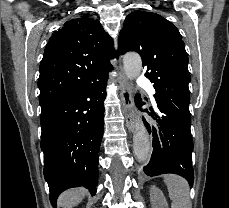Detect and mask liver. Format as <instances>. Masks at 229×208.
I'll return each mask as SVG.
<instances>
[{
    "mask_svg": "<svg viewBox=\"0 0 229 208\" xmlns=\"http://www.w3.org/2000/svg\"><path fill=\"white\" fill-rule=\"evenodd\" d=\"M87 192L84 188H74V190H67L59 196L57 200V208H74L80 204Z\"/></svg>",
    "mask_w": 229,
    "mask_h": 208,
    "instance_id": "6515ba94",
    "label": "liver"
}]
</instances>
